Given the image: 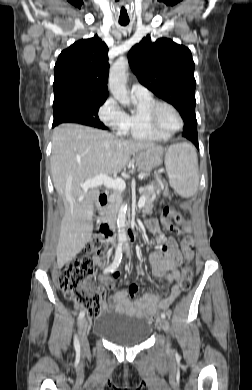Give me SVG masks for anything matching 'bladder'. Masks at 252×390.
Wrapping results in <instances>:
<instances>
[{
    "label": "bladder",
    "instance_id": "bladder-1",
    "mask_svg": "<svg viewBox=\"0 0 252 390\" xmlns=\"http://www.w3.org/2000/svg\"><path fill=\"white\" fill-rule=\"evenodd\" d=\"M93 333L113 344L131 347L144 343L151 327L143 318L109 313L94 322Z\"/></svg>",
    "mask_w": 252,
    "mask_h": 390
}]
</instances>
